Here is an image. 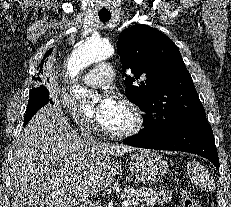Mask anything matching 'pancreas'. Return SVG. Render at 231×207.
<instances>
[{"mask_svg": "<svg viewBox=\"0 0 231 207\" xmlns=\"http://www.w3.org/2000/svg\"><path fill=\"white\" fill-rule=\"evenodd\" d=\"M172 192L169 190L161 188H135V187H126L124 189L123 196L127 198L128 202L131 204V207H144V205H154L158 204H167L171 202Z\"/></svg>", "mask_w": 231, "mask_h": 207, "instance_id": "obj_1", "label": "pancreas"}]
</instances>
